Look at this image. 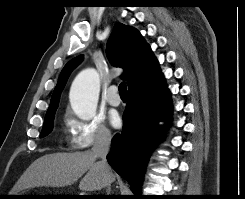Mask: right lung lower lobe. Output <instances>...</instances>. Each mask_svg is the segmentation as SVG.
<instances>
[{
	"label": "right lung lower lobe",
	"instance_id": "1",
	"mask_svg": "<svg viewBox=\"0 0 245 199\" xmlns=\"http://www.w3.org/2000/svg\"><path fill=\"white\" fill-rule=\"evenodd\" d=\"M170 113V94L163 79L147 90L128 92L123 130L114 136L107 160L135 195L148 156L161 138L158 122L169 120Z\"/></svg>",
	"mask_w": 245,
	"mask_h": 199
}]
</instances>
